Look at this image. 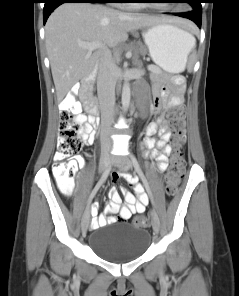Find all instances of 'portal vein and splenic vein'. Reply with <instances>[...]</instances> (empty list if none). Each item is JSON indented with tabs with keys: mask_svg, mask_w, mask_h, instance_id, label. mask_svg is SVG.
I'll list each match as a JSON object with an SVG mask.
<instances>
[{
	"mask_svg": "<svg viewBox=\"0 0 239 296\" xmlns=\"http://www.w3.org/2000/svg\"><path fill=\"white\" fill-rule=\"evenodd\" d=\"M80 47L86 48L88 50H94L98 48H104V45L100 42H80ZM150 71H153V68L151 66L148 67Z\"/></svg>",
	"mask_w": 239,
	"mask_h": 296,
	"instance_id": "portal-vein-and-splenic-vein-1",
	"label": "portal vein and splenic vein"
}]
</instances>
